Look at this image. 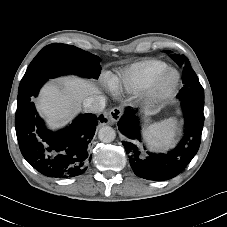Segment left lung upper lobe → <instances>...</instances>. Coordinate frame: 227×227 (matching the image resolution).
<instances>
[{"mask_svg": "<svg viewBox=\"0 0 227 227\" xmlns=\"http://www.w3.org/2000/svg\"><path fill=\"white\" fill-rule=\"evenodd\" d=\"M171 53V51H166ZM170 57L181 67H183V84L184 87L180 90L178 97L184 98L189 96H196L204 98V90L201 86L198 77L194 70L191 68L190 63L186 56L178 54H170Z\"/></svg>", "mask_w": 227, "mask_h": 227, "instance_id": "left-lung-upper-lobe-1", "label": "left lung upper lobe"}]
</instances>
